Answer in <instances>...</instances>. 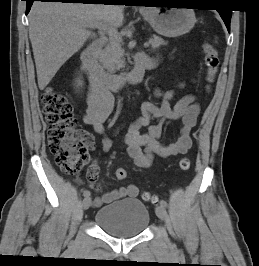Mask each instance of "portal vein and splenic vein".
Returning <instances> with one entry per match:
<instances>
[{
    "mask_svg": "<svg viewBox=\"0 0 259 266\" xmlns=\"http://www.w3.org/2000/svg\"><path fill=\"white\" fill-rule=\"evenodd\" d=\"M90 27L107 31L110 36L121 38V35L118 33V31L115 28L108 26L106 23L102 21L94 22L90 25ZM149 44L150 42H145L144 47L147 48Z\"/></svg>",
    "mask_w": 259,
    "mask_h": 266,
    "instance_id": "portal-vein-and-splenic-vein-1",
    "label": "portal vein and splenic vein"
}]
</instances>
